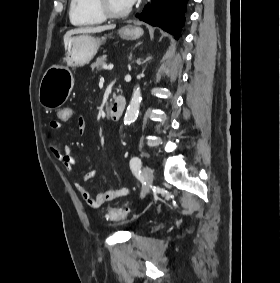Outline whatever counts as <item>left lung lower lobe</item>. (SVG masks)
<instances>
[{"label": "left lung lower lobe", "instance_id": "1", "mask_svg": "<svg viewBox=\"0 0 280 283\" xmlns=\"http://www.w3.org/2000/svg\"><path fill=\"white\" fill-rule=\"evenodd\" d=\"M186 3L187 0H151L136 17L152 26L162 28L178 39L185 21Z\"/></svg>", "mask_w": 280, "mask_h": 283}]
</instances>
